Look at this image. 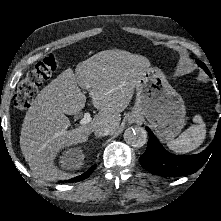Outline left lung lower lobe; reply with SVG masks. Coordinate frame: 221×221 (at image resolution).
Here are the masks:
<instances>
[{
  "label": "left lung lower lobe",
  "instance_id": "0a47b994",
  "mask_svg": "<svg viewBox=\"0 0 221 221\" xmlns=\"http://www.w3.org/2000/svg\"><path fill=\"white\" fill-rule=\"evenodd\" d=\"M149 141L145 153L140 157V164L151 174L165 177H178L198 171L211 156L216 147H221V118L212 143L201 153L191 156H178L167 152L157 138L146 127Z\"/></svg>",
  "mask_w": 221,
  "mask_h": 221
}]
</instances>
